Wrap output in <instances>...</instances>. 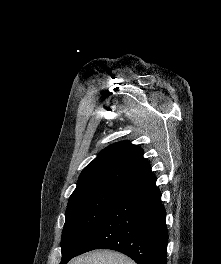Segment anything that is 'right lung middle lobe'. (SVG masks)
I'll list each match as a JSON object with an SVG mask.
<instances>
[{
	"label": "right lung middle lobe",
	"mask_w": 221,
	"mask_h": 264,
	"mask_svg": "<svg viewBox=\"0 0 221 264\" xmlns=\"http://www.w3.org/2000/svg\"><path fill=\"white\" fill-rule=\"evenodd\" d=\"M125 189L103 186L70 196L62 232V261L81 248Z\"/></svg>",
	"instance_id": "obj_1"
}]
</instances>
